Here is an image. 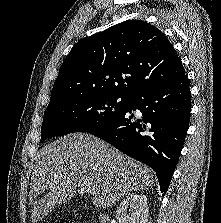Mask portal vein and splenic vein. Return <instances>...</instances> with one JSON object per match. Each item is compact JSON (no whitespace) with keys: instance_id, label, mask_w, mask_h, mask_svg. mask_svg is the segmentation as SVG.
Returning a JSON list of instances; mask_svg holds the SVG:
<instances>
[{"instance_id":"1","label":"portal vein and splenic vein","mask_w":221,"mask_h":223,"mask_svg":"<svg viewBox=\"0 0 221 223\" xmlns=\"http://www.w3.org/2000/svg\"><path fill=\"white\" fill-rule=\"evenodd\" d=\"M79 186H80L81 191L89 192V193L92 192L91 188L88 187L86 184H83V183H82V184H79Z\"/></svg>"}]
</instances>
